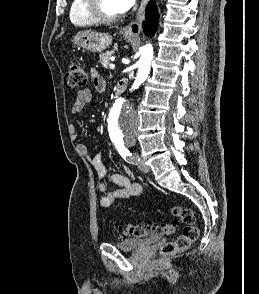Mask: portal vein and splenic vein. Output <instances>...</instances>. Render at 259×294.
Instances as JSON below:
<instances>
[{
  "instance_id": "portal-vein-and-splenic-vein-1",
  "label": "portal vein and splenic vein",
  "mask_w": 259,
  "mask_h": 294,
  "mask_svg": "<svg viewBox=\"0 0 259 294\" xmlns=\"http://www.w3.org/2000/svg\"><path fill=\"white\" fill-rule=\"evenodd\" d=\"M109 67H110V69H114V68H115V65H114L113 63H111V64L109 65Z\"/></svg>"
}]
</instances>
